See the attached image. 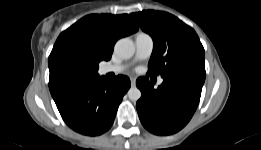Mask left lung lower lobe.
Returning a JSON list of instances; mask_svg holds the SVG:
<instances>
[{
	"instance_id": "left-lung-lower-lobe-1",
	"label": "left lung lower lobe",
	"mask_w": 261,
	"mask_h": 150,
	"mask_svg": "<svg viewBox=\"0 0 261 150\" xmlns=\"http://www.w3.org/2000/svg\"><path fill=\"white\" fill-rule=\"evenodd\" d=\"M205 74L181 70L163 77L154 89L147 77L136 81L141 98L136 107L143 126L156 135H169L182 129L193 116L200 100Z\"/></svg>"
}]
</instances>
